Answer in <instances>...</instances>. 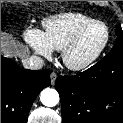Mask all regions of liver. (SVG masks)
Segmentation results:
<instances>
[{"label":"liver","instance_id":"1","mask_svg":"<svg viewBox=\"0 0 123 123\" xmlns=\"http://www.w3.org/2000/svg\"><path fill=\"white\" fill-rule=\"evenodd\" d=\"M27 49L22 47L21 49H17L16 46L10 44L5 36L1 34V53H17V55L22 58H26Z\"/></svg>","mask_w":123,"mask_h":123}]
</instances>
